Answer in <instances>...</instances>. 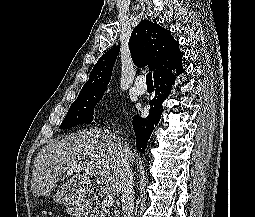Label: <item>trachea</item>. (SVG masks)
I'll return each mask as SVG.
<instances>
[{"label": "trachea", "mask_w": 255, "mask_h": 217, "mask_svg": "<svg viewBox=\"0 0 255 217\" xmlns=\"http://www.w3.org/2000/svg\"><path fill=\"white\" fill-rule=\"evenodd\" d=\"M146 83L148 85H153V79H152V73L151 72L146 75Z\"/></svg>", "instance_id": "1"}]
</instances>
